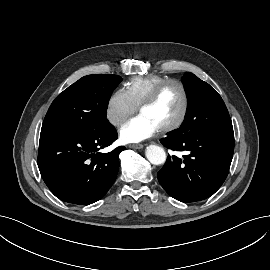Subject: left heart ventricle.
Masks as SVG:
<instances>
[{
	"label": "left heart ventricle",
	"instance_id": "left-heart-ventricle-1",
	"mask_svg": "<svg viewBox=\"0 0 270 270\" xmlns=\"http://www.w3.org/2000/svg\"><path fill=\"white\" fill-rule=\"evenodd\" d=\"M182 94L177 85H168L160 93L157 100L140 114L149 118L158 129L175 122L182 110Z\"/></svg>",
	"mask_w": 270,
	"mask_h": 270
}]
</instances>
